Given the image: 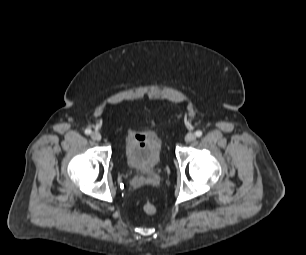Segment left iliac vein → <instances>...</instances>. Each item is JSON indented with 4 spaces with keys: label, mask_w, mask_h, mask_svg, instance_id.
Returning a JSON list of instances; mask_svg holds the SVG:
<instances>
[{
    "label": "left iliac vein",
    "mask_w": 306,
    "mask_h": 255,
    "mask_svg": "<svg viewBox=\"0 0 306 255\" xmlns=\"http://www.w3.org/2000/svg\"><path fill=\"white\" fill-rule=\"evenodd\" d=\"M196 139V135L194 133H188L186 136H185V141L187 143L189 142H192Z\"/></svg>",
    "instance_id": "1"
}]
</instances>
